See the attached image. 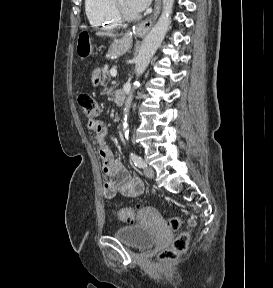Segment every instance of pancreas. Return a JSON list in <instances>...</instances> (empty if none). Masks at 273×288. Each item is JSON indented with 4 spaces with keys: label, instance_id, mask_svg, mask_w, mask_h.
<instances>
[{
    "label": "pancreas",
    "instance_id": "pancreas-1",
    "mask_svg": "<svg viewBox=\"0 0 273 288\" xmlns=\"http://www.w3.org/2000/svg\"><path fill=\"white\" fill-rule=\"evenodd\" d=\"M106 79L110 80V74H109V71H108L107 69H103V70H102V81H101V85H105Z\"/></svg>",
    "mask_w": 273,
    "mask_h": 288
}]
</instances>
